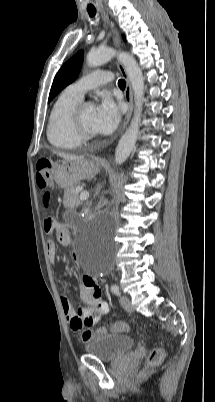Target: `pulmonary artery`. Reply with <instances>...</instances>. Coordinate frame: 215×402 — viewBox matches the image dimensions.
Listing matches in <instances>:
<instances>
[{
	"label": "pulmonary artery",
	"instance_id": "pulmonary-artery-1",
	"mask_svg": "<svg viewBox=\"0 0 215 402\" xmlns=\"http://www.w3.org/2000/svg\"><path fill=\"white\" fill-rule=\"evenodd\" d=\"M112 79L113 75L111 72L94 71L68 86V89L76 95L83 97L88 90L106 84L112 81Z\"/></svg>",
	"mask_w": 215,
	"mask_h": 402
}]
</instances>
